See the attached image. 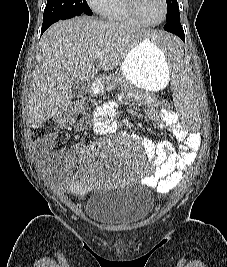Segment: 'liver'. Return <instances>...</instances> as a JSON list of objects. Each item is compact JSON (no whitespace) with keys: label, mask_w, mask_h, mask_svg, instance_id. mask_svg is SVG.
<instances>
[{"label":"liver","mask_w":227,"mask_h":267,"mask_svg":"<svg viewBox=\"0 0 227 267\" xmlns=\"http://www.w3.org/2000/svg\"><path fill=\"white\" fill-rule=\"evenodd\" d=\"M155 33L161 32L89 16L53 24L41 39L42 63L30 86L31 127L39 128L68 108L77 80L89 84L97 70H113L139 42Z\"/></svg>","instance_id":"obj_1"}]
</instances>
